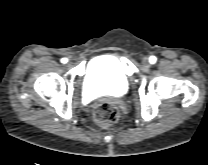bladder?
Instances as JSON below:
<instances>
[{
    "instance_id": "bladder-1",
    "label": "bladder",
    "mask_w": 208,
    "mask_h": 165,
    "mask_svg": "<svg viewBox=\"0 0 208 165\" xmlns=\"http://www.w3.org/2000/svg\"><path fill=\"white\" fill-rule=\"evenodd\" d=\"M128 87V75L117 57L102 55L95 57L88 64L84 88L89 96H123Z\"/></svg>"
}]
</instances>
